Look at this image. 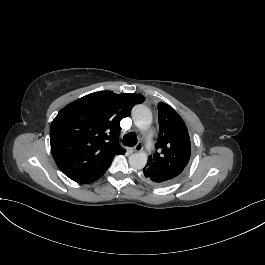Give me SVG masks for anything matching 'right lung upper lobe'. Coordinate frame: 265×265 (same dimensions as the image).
I'll use <instances>...</instances> for the list:
<instances>
[{"label": "right lung upper lobe", "instance_id": "1", "mask_svg": "<svg viewBox=\"0 0 265 265\" xmlns=\"http://www.w3.org/2000/svg\"><path fill=\"white\" fill-rule=\"evenodd\" d=\"M144 100L139 94L99 91L63 108L50 128L51 152L60 170L85 184L104 175L114 156L125 153L118 142L120 120Z\"/></svg>", "mask_w": 265, "mask_h": 265}]
</instances>
